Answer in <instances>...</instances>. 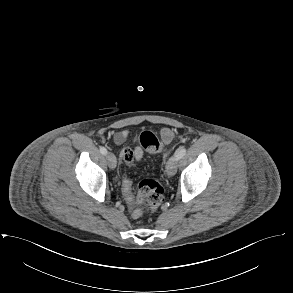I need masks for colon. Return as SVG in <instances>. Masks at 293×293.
Segmentation results:
<instances>
[{
	"label": "colon",
	"mask_w": 293,
	"mask_h": 293,
	"mask_svg": "<svg viewBox=\"0 0 293 293\" xmlns=\"http://www.w3.org/2000/svg\"><path fill=\"white\" fill-rule=\"evenodd\" d=\"M139 141L148 153L156 154L163 150L161 141L149 130L141 133ZM122 191L126 201L132 207L133 216L136 218L142 215V211L139 208L140 205L147 203L151 209H156L162 204L165 193L163 185L152 178L142 179L138 184L136 194H133L132 182L125 180L122 185Z\"/></svg>",
	"instance_id": "obj_1"
}]
</instances>
